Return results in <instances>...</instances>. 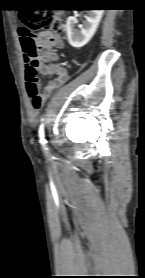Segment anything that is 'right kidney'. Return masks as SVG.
Listing matches in <instances>:
<instances>
[{"label":"right kidney","mask_w":145,"mask_h":278,"mask_svg":"<svg viewBox=\"0 0 145 278\" xmlns=\"http://www.w3.org/2000/svg\"><path fill=\"white\" fill-rule=\"evenodd\" d=\"M103 12L104 10H88L86 22L80 30L75 29V25L77 24L76 17H68L66 31L68 41L72 47L79 49L89 42L97 30Z\"/></svg>","instance_id":"ca27d5eb"}]
</instances>
